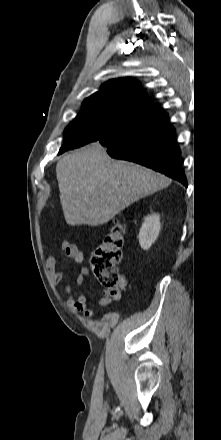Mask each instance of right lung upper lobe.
<instances>
[{
  "mask_svg": "<svg viewBox=\"0 0 221 440\" xmlns=\"http://www.w3.org/2000/svg\"><path fill=\"white\" fill-rule=\"evenodd\" d=\"M99 102H109L120 109H131L135 113L153 104L139 82L131 78L110 80L84 101L90 104Z\"/></svg>",
  "mask_w": 221,
  "mask_h": 440,
  "instance_id": "1",
  "label": "right lung upper lobe"
}]
</instances>
